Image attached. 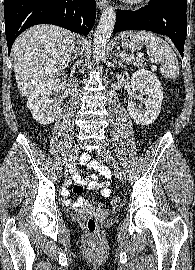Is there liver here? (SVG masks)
<instances>
[{
  "instance_id": "1",
  "label": "liver",
  "mask_w": 195,
  "mask_h": 270,
  "mask_svg": "<svg viewBox=\"0 0 195 270\" xmlns=\"http://www.w3.org/2000/svg\"><path fill=\"white\" fill-rule=\"evenodd\" d=\"M75 50V34L54 25H36L14 42V73L22 96H30L45 81L59 76Z\"/></svg>"
}]
</instances>
